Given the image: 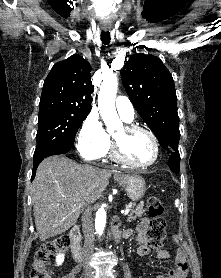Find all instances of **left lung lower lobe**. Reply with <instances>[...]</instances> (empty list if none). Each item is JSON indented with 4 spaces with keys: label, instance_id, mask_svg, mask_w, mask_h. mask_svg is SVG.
Masks as SVG:
<instances>
[{
    "label": "left lung lower lobe",
    "instance_id": "0a47b994",
    "mask_svg": "<svg viewBox=\"0 0 221 278\" xmlns=\"http://www.w3.org/2000/svg\"><path fill=\"white\" fill-rule=\"evenodd\" d=\"M171 157L169 159V167L170 169L178 173L180 168V155L178 151H171Z\"/></svg>",
    "mask_w": 221,
    "mask_h": 278
}]
</instances>
